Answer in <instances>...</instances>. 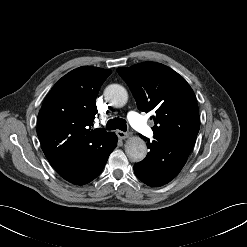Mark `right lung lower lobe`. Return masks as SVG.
Returning <instances> with one entry per match:
<instances>
[{
  "label": "right lung lower lobe",
  "mask_w": 247,
  "mask_h": 247,
  "mask_svg": "<svg viewBox=\"0 0 247 247\" xmlns=\"http://www.w3.org/2000/svg\"><path fill=\"white\" fill-rule=\"evenodd\" d=\"M117 140V136L113 133L100 147L71 159L55 170L68 182L84 185L102 172L110 153L117 145Z\"/></svg>",
  "instance_id": "98d812e1"
}]
</instances>
